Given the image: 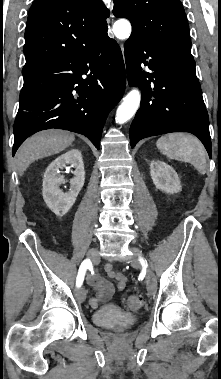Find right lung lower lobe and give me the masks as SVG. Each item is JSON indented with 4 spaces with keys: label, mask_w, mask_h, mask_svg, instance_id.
<instances>
[{
    "label": "right lung lower lobe",
    "mask_w": 221,
    "mask_h": 379,
    "mask_svg": "<svg viewBox=\"0 0 221 379\" xmlns=\"http://www.w3.org/2000/svg\"><path fill=\"white\" fill-rule=\"evenodd\" d=\"M23 77L13 156L26 138L49 128L83 134L99 149L107 115L126 85L115 40L106 34L91 47L23 72Z\"/></svg>",
    "instance_id": "obj_1"
}]
</instances>
